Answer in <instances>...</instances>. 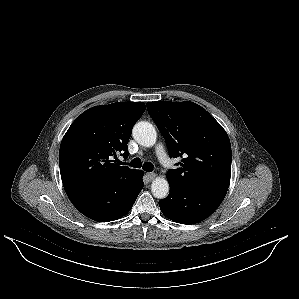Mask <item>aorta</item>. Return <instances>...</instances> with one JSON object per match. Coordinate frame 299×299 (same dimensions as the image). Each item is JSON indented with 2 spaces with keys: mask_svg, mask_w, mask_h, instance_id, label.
Segmentation results:
<instances>
[{
  "mask_svg": "<svg viewBox=\"0 0 299 299\" xmlns=\"http://www.w3.org/2000/svg\"><path fill=\"white\" fill-rule=\"evenodd\" d=\"M132 135L135 141L144 147H152L157 140L155 127L151 123L145 121L135 124ZM151 192L155 198H166L169 194L168 181L163 177L155 178L151 184Z\"/></svg>",
  "mask_w": 299,
  "mask_h": 299,
  "instance_id": "762f6f07",
  "label": "aorta"
}]
</instances>
